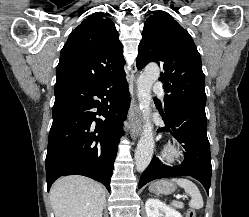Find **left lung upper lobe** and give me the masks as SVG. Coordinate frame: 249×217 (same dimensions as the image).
I'll list each match as a JSON object with an SVG mask.
<instances>
[{
  "label": "left lung upper lobe",
  "mask_w": 249,
  "mask_h": 217,
  "mask_svg": "<svg viewBox=\"0 0 249 217\" xmlns=\"http://www.w3.org/2000/svg\"><path fill=\"white\" fill-rule=\"evenodd\" d=\"M156 62L163 72L165 112L180 103L205 108V78L200 54L189 33L168 13H155L144 23L137 68Z\"/></svg>",
  "instance_id": "5c2ea615"
}]
</instances>
